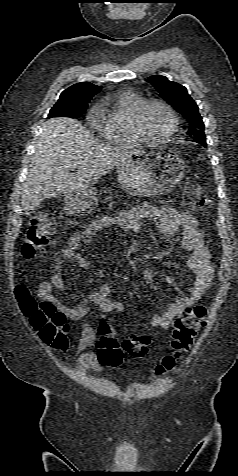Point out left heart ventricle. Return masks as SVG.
<instances>
[{
  "label": "left heart ventricle",
  "instance_id": "left-heart-ventricle-1",
  "mask_svg": "<svg viewBox=\"0 0 238 476\" xmlns=\"http://www.w3.org/2000/svg\"><path fill=\"white\" fill-rule=\"evenodd\" d=\"M172 125V119L161 105H151L144 115V126L148 134L154 138L165 136Z\"/></svg>",
  "mask_w": 238,
  "mask_h": 476
}]
</instances>
